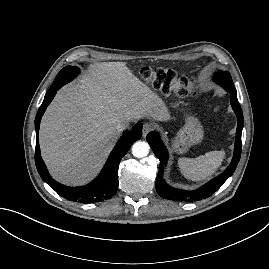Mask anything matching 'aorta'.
Wrapping results in <instances>:
<instances>
[{
	"label": "aorta",
	"mask_w": 269,
	"mask_h": 269,
	"mask_svg": "<svg viewBox=\"0 0 269 269\" xmlns=\"http://www.w3.org/2000/svg\"><path fill=\"white\" fill-rule=\"evenodd\" d=\"M149 144L144 141H137L132 146V154L137 158H143L149 153Z\"/></svg>",
	"instance_id": "1"
}]
</instances>
